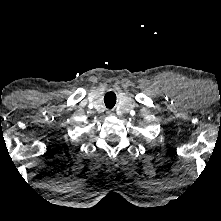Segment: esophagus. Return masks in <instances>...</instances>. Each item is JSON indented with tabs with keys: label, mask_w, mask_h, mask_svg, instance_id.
<instances>
[{
	"label": "esophagus",
	"mask_w": 221,
	"mask_h": 221,
	"mask_svg": "<svg viewBox=\"0 0 221 221\" xmlns=\"http://www.w3.org/2000/svg\"><path fill=\"white\" fill-rule=\"evenodd\" d=\"M106 113H107V115H109V116H112V115L115 114L113 110H108Z\"/></svg>",
	"instance_id": "esophagus-1"
}]
</instances>
